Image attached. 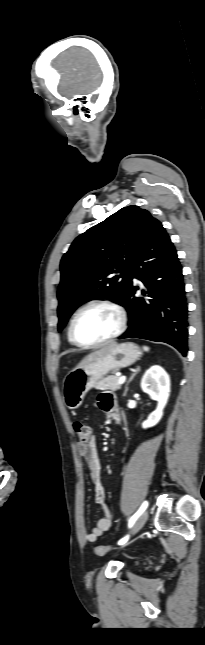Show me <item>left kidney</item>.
Instances as JSON below:
<instances>
[{"mask_svg": "<svg viewBox=\"0 0 205 645\" xmlns=\"http://www.w3.org/2000/svg\"><path fill=\"white\" fill-rule=\"evenodd\" d=\"M141 388L151 399L158 402L156 410L142 423L145 429L155 426L163 416V410L170 395L169 375L161 366L154 365L142 377Z\"/></svg>", "mask_w": 205, "mask_h": 645, "instance_id": "5707ae66", "label": "left kidney"}]
</instances>
